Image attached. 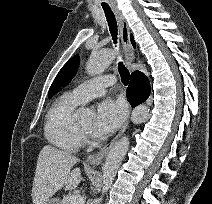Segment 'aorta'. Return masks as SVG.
Here are the masks:
<instances>
[{"label":"aorta","mask_w":212,"mask_h":204,"mask_svg":"<svg viewBox=\"0 0 212 204\" xmlns=\"http://www.w3.org/2000/svg\"><path fill=\"white\" fill-rule=\"evenodd\" d=\"M116 55L117 51L112 49H102L99 52L91 54L86 64V73L90 76L100 75L109 67ZM92 114L93 112L89 108L80 109V115L83 117H89ZM149 116L150 109L145 105H139L133 110L131 120L135 124H140L146 121ZM128 148L129 138L125 136L119 139L110 149L103 169L102 193H105L110 188ZM98 201L101 203L102 197Z\"/></svg>","instance_id":"762f6f07"}]
</instances>
